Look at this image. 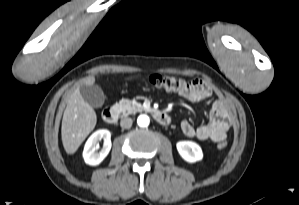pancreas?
<instances>
[{"label": "pancreas", "mask_w": 299, "mask_h": 205, "mask_svg": "<svg viewBox=\"0 0 299 205\" xmlns=\"http://www.w3.org/2000/svg\"><path fill=\"white\" fill-rule=\"evenodd\" d=\"M114 107L122 112L124 116L142 112L144 110L143 106L140 103L128 99H121L118 103L114 104Z\"/></svg>", "instance_id": "cf45deb5"}]
</instances>
